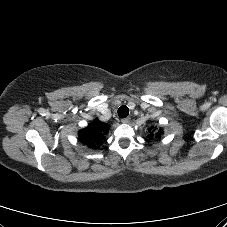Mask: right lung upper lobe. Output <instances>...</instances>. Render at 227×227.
Segmentation results:
<instances>
[{
    "label": "right lung upper lobe",
    "mask_w": 227,
    "mask_h": 227,
    "mask_svg": "<svg viewBox=\"0 0 227 227\" xmlns=\"http://www.w3.org/2000/svg\"><path fill=\"white\" fill-rule=\"evenodd\" d=\"M109 125L95 119L90 125L78 132L79 141L91 148H99L103 144Z\"/></svg>",
    "instance_id": "cb5924a9"
}]
</instances>
